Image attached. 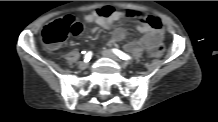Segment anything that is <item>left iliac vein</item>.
Returning a JSON list of instances; mask_svg holds the SVG:
<instances>
[{
  "mask_svg": "<svg viewBox=\"0 0 218 122\" xmlns=\"http://www.w3.org/2000/svg\"><path fill=\"white\" fill-rule=\"evenodd\" d=\"M101 54L107 58H110L114 61H116L121 67L125 68L127 66V64L123 61H121L115 54L114 52H112L111 50L108 49H103L101 51Z\"/></svg>",
  "mask_w": 218,
  "mask_h": 122,
  "instance_id": "obj_1",
  "label": "left iliac vein"
}]
</instances>
